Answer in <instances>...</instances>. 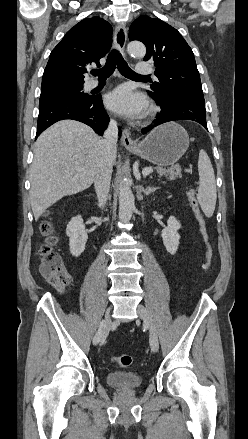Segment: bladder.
<instances>
[{"mask_svg":"<svg viewBox=\"0 0 248 439\" xmlns=\"http://www.w3.org/2000/svg\"><path fill=\"white\" fill-rule=\"evenodd\" d=\"M105 379L109 386L121 390L138 389L143 384V377L131 371L110 372L106 374Z\"/></svg>","mask_w":248,"mask_h":439,"instance_id":"1","label":"bladder"}]
</instances>
